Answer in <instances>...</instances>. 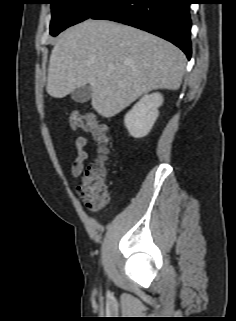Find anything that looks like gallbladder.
Wrapping results in <instances>:
<instances>
[{
	"label": "gallbladder",
	"mask_w": 236,
	"mask_h": 321,
	"mask_svg": "<svg viewBox=\"0 0 236 321\" xmlns=\"http://www.w3.org/2000/svg\"><path fill=\"white\" fill-rule=\"evenodd\" d=\"M90 97L91 88L89 85L79 87L71 93V98L78 103H85L89 101Z\"/></svg>",
	"instance_id": "gallbladder-1"
}]
</instances>
